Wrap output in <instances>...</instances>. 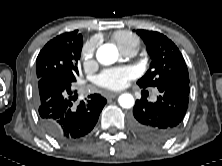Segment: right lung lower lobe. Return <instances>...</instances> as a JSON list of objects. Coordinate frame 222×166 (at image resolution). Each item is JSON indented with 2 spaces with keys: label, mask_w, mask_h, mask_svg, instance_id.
I'll return each mask as SVG.
<instances>
[{
  "label": "right lung lower lobe",
  "mask_w": 222,
  "mask_h": 166,
  "mask_svg": "<svg viewBox=\"0 0 222 166\" xmlns=\"http://www.w3.org/2000/svg\"><path fill=\"white\" fill-rule=\"evenodd\" d=\"M71 81L62 74H48L37 80L36 101L45 131L60 142L79 139L88 134L98 121L106 99L99 94L88 96L75 107Z\"/></svg>",
  "instance_id": "obj_1"
}]
</instances>
